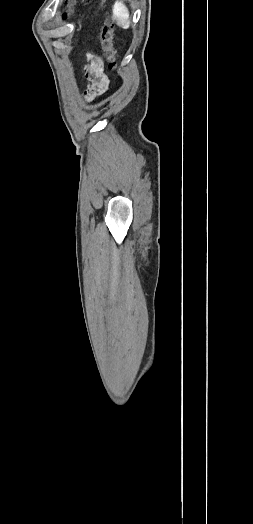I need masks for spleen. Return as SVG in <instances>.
Returning <instances> with one entry per match:
<instances>
[{
  "label": "spleen",
  "instance_id": "spleen-1",
  "mask_svg": "<svg viewBox=\"0 0 253 524\" xmlns=\"http://www.w3.org/2000/svg\"><path fill=\"white\" fill-rule=\"evenodd\" d=\"M113 17L117 25L123 29H128L130 26L129 11L127 7L119 1H116L113 7Z\"/></svg>",
  "mask_w": 253,
  "mask_h": 524
}]
</instances>
